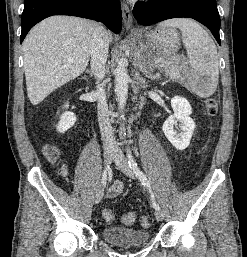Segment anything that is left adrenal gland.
<instances>
[{
  "label": "left adrenal gland",
  "instance_id": "left-adrenal-gland-1",
  "mask_svg": "<svg viewBox=\"0 0 247 257\" xmlns=\"http://www.w3.org/2000/svg\"><path fill=\"white\" fill-rule=\"evenodd\" d=\"M159 77H160V73H156L155 75L150 73L149 76H148V78L151 79V80L159 79Z\"/></svg>",
  "mask_w": 247,
  "mask_h": 257
}]
</instances>
